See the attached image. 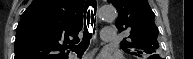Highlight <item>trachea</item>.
<instances>
[{
    "mask_svg": "<svg viewBox=\"0 0 193 59\" xmlns=\"http://www.w3.org/2000/svg\"><path fill=\"white\" fill-rule=\"evenodd\" d=\"M89 6H91L94 9V13H93V9H88ZM94 15H96V4L91 1L90 2L88 1L85 6L84 18L86 19V21L84 24V34H83L82 41L78 45L69 46V49L71 51L76 52L78 55H82L86 51V49L89 46L90 39L94 34V31L92 34L91 29L89 31V25H91V27H93L94 25V28H95Z\"/></svg>",
    "mask_w": 193,
    "mask_h": 59,
    "instance_id": "3493384b",
    "label": "trachea"
}]
</instances>
